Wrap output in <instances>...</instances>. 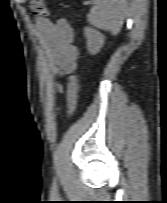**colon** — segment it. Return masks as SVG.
I'll return each mask as SVG.
<instances>
[{
	"label": "colon",
	"instance_id": "colon-1",
	"mask_svg": "<svg viewBox=\"0 0 167 203\" xmlns=\"http://www.w3.org/2000/svg\"><path fill=\"white\" fill-rule=\"evenodd\" d=\"M30 9L35 16L49 17L50 13L42 0H30ZM80 71H76L69 80L68 100L70 104V115L72 118L77 111L78 87H79Z\"/></svg>",
	"mask_w": 167,
	"mask_h": 203
}]
</instances>
